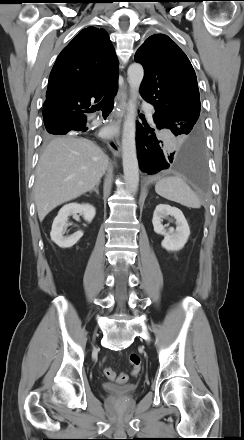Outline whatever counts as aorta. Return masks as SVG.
Instances as JSON below:
<instances>
[{"instance_id":"aorta-1","label":"aorta","mask_w":244,"mask_h":440,"mask_svg":"<svg viewBox=\"0 0 244 440\" xmlns=\"http://www.w3.org/2000/svg\"><path fill=\"white\" fill-rule=\"evenodd\" d=\"M128 82L130 86V99L128 101L127 114L123 124L122 133V161L124 179L128 189L136 193L139 185V165L136 153V100L144 76V69L141 64L133 63L129 66Z\"/></svg>"}]
</instances>
